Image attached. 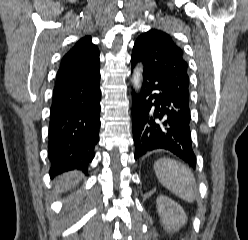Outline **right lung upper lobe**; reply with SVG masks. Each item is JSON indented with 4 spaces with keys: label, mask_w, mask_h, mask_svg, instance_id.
Segmentation results:
<instances>
[{
    "label": "right lung upper lobe",
    "mask_w": 248,
    "mask_h": 240,
    "mask_svg": "<svg viewBox=\"0 0 248 240\" xmlns=\"http://www.w3.org/2000/svg\"><path fill=\"white\" fill-rule=\"evenodd\" d=\"M99 50L92 44L91 37L85 36L64 55L56 76L55 86L76 81L99 70Z\"/></svg>",
    "instance_id": "cb5924a9"
}]
</instances>
